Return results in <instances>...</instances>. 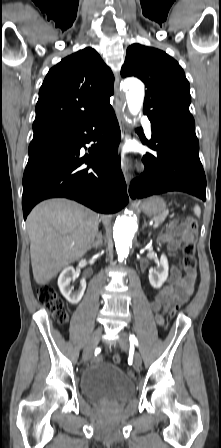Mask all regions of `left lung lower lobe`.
Returning a JSON list of instances; mask_svg holds the SVG:
<instances>
[{"mask_svg":"<svg viewBox=\"0 0 221 448\" xmlns=\"http://www.w3.org/2000/svg\"><path fill=\"white\" fill-rule=\"evenodd\" d=\"M148 146L157 151L143 157L145 172L129 189L131 198L183 191L206 200V178L199 159V142L152 128Z\"/></svg>","mask_w":221,"mask_h":448,"instance_id":"obj_1","label":"left lung lower lobe"}]
</instances>
